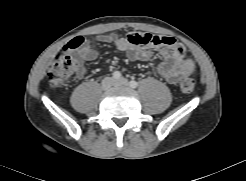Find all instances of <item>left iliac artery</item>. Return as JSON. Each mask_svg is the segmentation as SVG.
Wrapping results in <instances>:
<instances>
[{"label":"left iliac artery","instance_id":"1","mask_svg":"<svg viewBox=\"0 0 246 181\" xmlns=\"http://www.w3.org/2000/svg\"><path fill=\"white\" fill-rule=\"evenodd\" d=\"M129 85H130V87H132V88H137V87H138V83H137L136 81H134V80L130 81V82H129Z\"/></svg>","mask_w":246,"mask_h":181}]
</instances>
